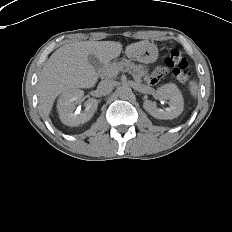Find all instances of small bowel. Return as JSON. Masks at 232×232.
Instances as JSON below:
<instances>
[{"instance_id":"small-bowel-1","label":"small bowel","mask_w":232,"mask_h":232,"mask_svg":"<svg viewBox=\"0 0 232 232\" xmlns=\"http://www.w3.org/2000/svg\"><path fill=\"white\" fill-rule=\"evenodd\" d=\"M167 73V68L165 65L160 64L157 66V68L154 69L152 76H150L146 84L148 87L153 88L155 87L159 82L162 81L163 77Z\"/></svg>"}]
</instances>
